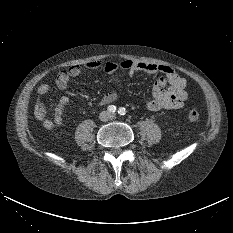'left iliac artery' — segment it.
Segmentation results:
<instances>
[{"instance_id": "44dca946", "label": "left iliac artery", "mask_w": 233, "mask_h": 233, "mask_svg": "<svg viewBox=\"0 0 233 233\" xmlns=\"http://www.w3.org/2000/svg\"><path fill=\"white\" fill-rule=\"evenodd\" d=\"M118 113L123 116L126 114V109L124 107L119 108Z\"/></svg>"}]
</instances>
